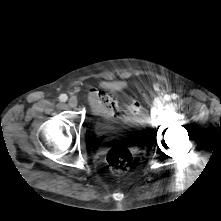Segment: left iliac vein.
<instances>
[{"instance_id": "obj_1", "label": "left iliac vein", "mask_w": 221, "mask_h": 221, "mask_svg": "<svg viewBox=\"0 0 221 221\" xmlns=\"http://www.w3.org/2000/svg\"><path fill=\"white\" fill-rule=\"evenodd\" d=\"M164 101L162 99H157L154 102V106L158 109H160L163 106Z\"/></svg>"}]
</instances>
